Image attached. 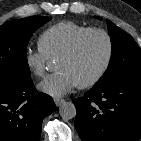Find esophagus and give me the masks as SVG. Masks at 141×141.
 Masks as SVG:
<instances>
[{
  "label": "esophagus",
  "mask_w": 141,
  "mask_h": 141,
  "mask_svg": "<svg viewBox=\"0 0 141 141\" xmlns=\"http://www.w3.org/2000/svg\"><path fill=\"white\" fill-rule=\"evenodd\" d=\"M54 102H55V105L57 107H59V106H61L65 102V100L64 99H60V98H55Z\"/></svg>",
  "instance_id": "1"
}]
</instances>
